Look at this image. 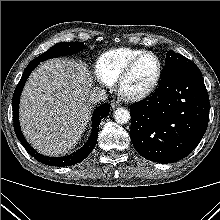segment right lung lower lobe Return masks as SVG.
I'll use <instances>...</instances> for the list:
<instances>
[{"instance_id":"obj_1","label":"right lung lower lobe","mask_w":220,"mask_h":220,"mask_svg":"<svg viewBox=\"0 0 220 220\" xmlns=\"http://www.w3.org/2000/svg\"><path fill=\"white\" fill-rule=\"evenodd\" d=\"M38 65L36 62H30L28 66L26 67L13 95V119H14V130L16 133V136L18 137L19 141L21 144L25 147V149L39 162H42L46 165H51V166H70L77 164L81 161H83L93 150V148L96 145L97 138H98V130H99V125L100 121L102 118L106 117L109 114L110 111V105L105 103L99 106L97 109H95L94 114H93V119H92V134L86 144L77 150L76 152L64 156V157H46L44 155H41L37 151H35L26 141L24 138L21 129H20V124H19V100H20V95L23 90V87L25 85V82L27 78L29 77L30 73L33 71V69Z\"/></svg>"}]
</instances>
